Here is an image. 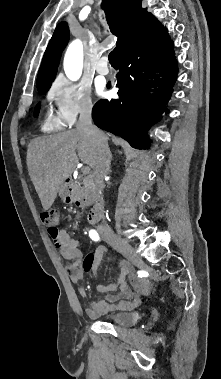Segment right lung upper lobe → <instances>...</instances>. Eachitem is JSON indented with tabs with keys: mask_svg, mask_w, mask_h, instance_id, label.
Here are the masks:
<instances>
[{
	"mask_svg": "<svg viewBox=\"0 0 221 379\" xmlns=\"http://www.w3.org/2000/svg\"><path fill=\"white\" fill-rule=\"evenodd\" d=\"M102 8L111 33L118 37L116 43L118 55L159 24L147 9L142 8L141 0H103ZM68 39L67 23L61 22L56 27L45 51L37 76V89L51 86Z\"/></svg>",
	"mask_w": 221,
	"mask_h": 379,
	"instance_id": "1",
	"label": "right lung upper lobe"
}]
</instances>
